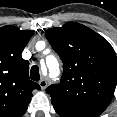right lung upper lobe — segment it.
Returning <instances> with one entry per match:
<instances>
[{
  "label": "right lung upper lobe",
  "instance_id": "obj_1",
  "mask_svg": "<svg viewBox=\"0 0 117 117\" xmlns=\"http://www.w3.org/2000/svg\"><path fill=\"white\" fill-rule=\"evenodd\" d=\"M33 34L13 25L0 28V117H22L32 91L40 89L29 80V62L21 56Z\"/></svg>",
  "mask_w": 117,
  "mask_h": 117
}]
</instances>
